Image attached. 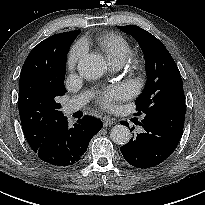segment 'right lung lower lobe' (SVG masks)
<instances>
[{"mask_svg":"<svg viewBox=\"0 0 205 205\" xmlns=\"http://www.w3.org/2000/svg\"><path fill=\"white\" fill-rule=\"evenodd\" d=\"M101 126L99 119L84 116L70 127L64 118L45 137L35 153L48 165L70 167L81 159L89 141L100 131Z\"/></svg>","mask_w":205,"mask_h":205,"instance_id":"98d812e1","label":"right lung lower lobe"}]
</instances>
